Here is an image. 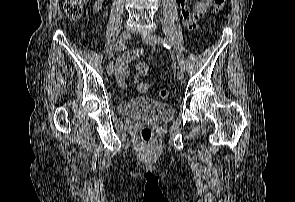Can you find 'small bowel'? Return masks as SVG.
Instances as JSON below:
<instances>
[{
	"label": "small bowel",
	"instance_id": "obj_1",
	"mask_svg": "<svg viewBox=\"0 0 295 202\" xmlns=\"http://www.w3.org/2000/svg\"><path fill=\"white\" fill-rule=\"evenodd\" d=\"M104 0H96L93 5V12L98 13L103 7ZM181 11V17L184 25L190 28L196 27L200 18L206 13L212 4V0H200L194 3L192 10L187 8V0H176ZM138 55V51H131L124 55L116 64L117 81L120 87H126V77L129 73L128 62ZM142 75L136 74L135 83L138 82Z\"/></svg>",
	"mask_w": 295,
	"mask_h": 202
}]
</instances>
